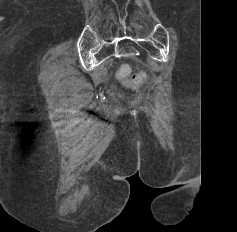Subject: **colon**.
<instances>
[{"label":"colon","instance_id":"5ec220e1","mask_svg":"<svg viewBox=\"0 0 237 232\" xmlns=\"http://www.w3.org/2000/svg\"><path fill=\"white\" fill-rule=\"evenodd\" d=\"M118 77L126 85L130 87L136 86L142 79V76H130V68L126 65L122 66L118 72Z\"/></svg>","mask_w":237,"mask_h":232}]
</instances>
